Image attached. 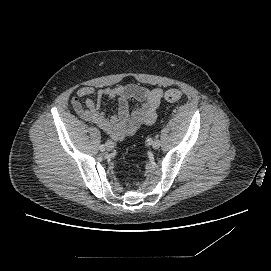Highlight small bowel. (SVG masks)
Returning a JSON list of instances; mask_svg holds the SVG:
<instances>
[{
    "label": "small bowel",
    "mask_w": 271,
    "mask_h": 271,
    "mask_svg": "<svg viewBox=\"0 0 271 271\" xmlns=\"http://www.w3.org/2000/svg\"><path fill=\"white\" fill-rule=\"evenodd\" d=\"M163 90L148 89L135 84L104 87L96 91L93 87H81L71 104L79 117L97 125L114 140L133 135L141 126L153 124L157 117ZM84 99V104L82 100ZM115 100L117 112L108 116L100 109L102 100ZM138 104L131 107L130 102Z\"/></svg>",
    "instance_id": "obj_1"
}]
</instances>
